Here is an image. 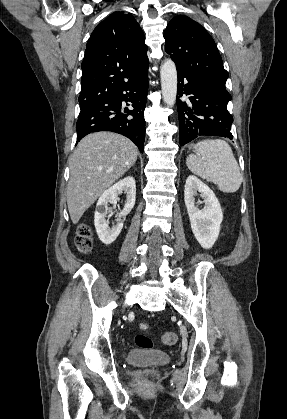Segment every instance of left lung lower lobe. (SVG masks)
Masks as SVG:
<instances>
[{
	"label": "left lung lower lobe",
	"mask_w": 287,
	"mask_h": 419,
	"mask_svg": "<svg viewBox=\"0 0 287 419\" xmlns=\"http://www.w3.org/2000/svg\"><path fill=\"white\" fill-rule=\"evenodd\" d=\"M177 110L179 115V143L181 146L199 136H220L232 139L233 122L227 110L231 95L225 85L189 78L178 74ZM183 95L190 102L181 101Z\"/></svg>",
	"instance_id": "obj_1"
}]
</instances>
